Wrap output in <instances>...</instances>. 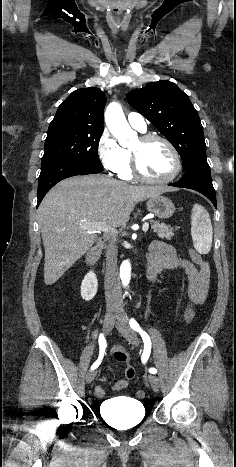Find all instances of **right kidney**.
I'll list each match as a JSON object with an SVG mask.
<instances>
[{"instance_id": "right-kidney-1", "label": "right kidney", "mask_w": 236, "mask_h": 467, "mask_svg": "<svg viewBox=\"0 0 236 467\" xmlns=\"http://www.w3.org/2000/svg\"><path fill=\"white\" fill-rule=\"evenodd\" d=\"M97 288L98 280L96 274L93 271H90L82 281L81 297L86 301L92 300L97 293Z\"/></svg>"}]
</instances>
